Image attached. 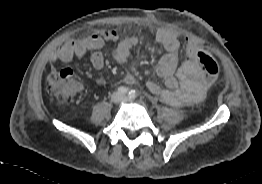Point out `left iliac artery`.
<instances>
[{"instance_id":"left-iliac-artery-1","label":"left iliac artery","mask_w":262,"mask_h":184,"mask_svg":"<svg viewBox=\"0 0 262 184\" xmlns=\"http://www.w3.org/2000/svg\"><path fill=\"white\" fill-rule=\"evenodd\" d=\"M128 96L130 99H135L137 96V92L135 90H131Z\"/></svg>"}]
</instances>
